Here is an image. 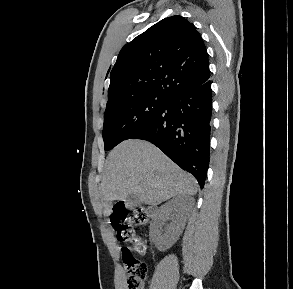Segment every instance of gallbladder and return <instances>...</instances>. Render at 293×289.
Wrapping results in <instances>:
<instances>
[{"instance_id":"bac80fb5","label":"gallbladder","mask_w":293,"mask_h":289,"mask_svg":"<svg viewBox=\"0 0 293 289\" xmlns=\"http://www.w3.org/2000/svg\"><path fill=\"white\" fill-rule=\"evenodd\" d=\"M141 204V201L135 194H130L125 199V205L128 208H134Z\"/></svg>"}]
</instances>
